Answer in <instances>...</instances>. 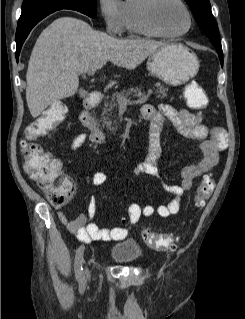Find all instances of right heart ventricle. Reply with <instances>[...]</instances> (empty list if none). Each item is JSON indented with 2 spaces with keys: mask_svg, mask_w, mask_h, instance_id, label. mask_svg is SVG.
<instances>
[{
  "mask_svg": "<svg viewBox=\"0 0 245 319\" xmlns=\"http://www.w3.org/2000/svg\"><path fill=\"white\" fill-rule=\"evenodd\" d=\"M143 0L122 2L124 30L131 35H153L141 23L139 8Z\"/></svg>",
  "mask_w": 245,
  "mask_h": 319,
  "instance_id": "obj_1",
  "label": "right heart ventricle"
}]
</instances>
